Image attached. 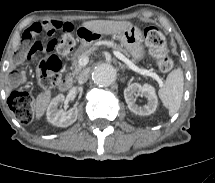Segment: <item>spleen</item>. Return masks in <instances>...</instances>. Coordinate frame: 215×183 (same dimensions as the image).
<instances>
[{
	"mask_svg": "<svg viewBox=\"0 0 215 183\" xmlns=\"http://www.w3.org/2000/svg\"><path fill=\"white\" fill-rule=\"evenodd\" d=\"M183 85V72L178 67L169 73L164 86L158 91L159 98L168 109L170 116H173L180 108L183 97Z\"/></svg>",
	"mask_w": 215,
	"mask_h": 183,
	"instance_id": "spleen-1",
	"label": "spleen"
}]
</instances>
